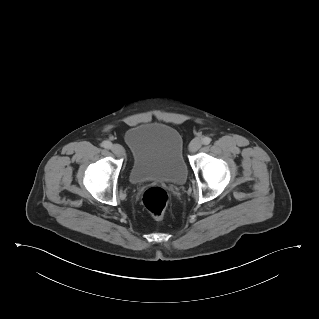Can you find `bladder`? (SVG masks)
Instances as JSON below:
<instances>
[{"label":"bladder","instance_id":"1","mask_svg":"<svg viewBox=\"0 0 319 319\" xmlns=\"http://www.w3.org/2000/svg\"><path fill=\"white\" fill-rule=\"evenodd\" d=\"M124 141L132 156L129 172L132 184L152 180L175 185L186 182L183 139L175 128L159 123L140 124L126 132Z\"/></svg>","mask_w":319,"mask_h":319}]
</instances>
